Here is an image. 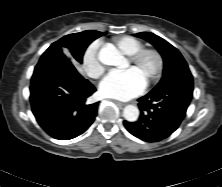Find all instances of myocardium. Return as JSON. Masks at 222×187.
Masks as SVG:
<instances>
[{"label":"myocardium","instance_id":"f54148a6","mask_svg":"<svg viewBox=\"0 0 222 187\" xmlns=\"http://www.w3.org/2000/svg\"><path fill=\"white\" fill-rule=\"evenodd\" d=\"M153 56L156 60V69L146 81L147 85L154 84L160 80L164 71V57L159 50L151 47H143L129 56L130 62L134 65L139 64L145 57Z\"/></svg>","mask_w":222,"mask_h":187}]
</instances>
